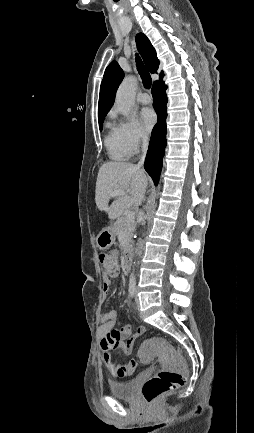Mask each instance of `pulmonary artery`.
Returning a JSON list of instances; mask_svg holds the SVG:
<instances>
[{
  "mask_svg": "<svg viewBox=\"0 0 254 433\" xmlns=\"http://www.w3.org/2000/svg\"><path fill=\"white\" fill-rule=\"evenodd\" d=\"M139 101L141 104H148L151 101V97L147 93H142L139 97Z\"/></svg>",
  "mask_w": 254,
  "mask_h": 433,
  "instance_id": "e3ab8cb5",
  "label": "pulmonary artery"
}]
</instances>
